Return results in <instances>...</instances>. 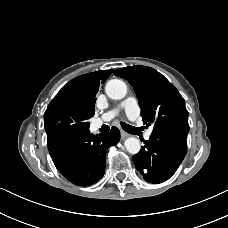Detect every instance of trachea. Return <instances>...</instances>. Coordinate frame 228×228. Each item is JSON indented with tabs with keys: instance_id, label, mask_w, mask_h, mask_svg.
<instances>
[{
	"instance_id": "1",
	"label": "trachea",
	"mask_w": 228,
	"mask_h": 228,
	"mask_svg": "<svg viewBox=\"0 0 228 228\" xmlns=\"http://www.w3.org/2000/svg\"><path fill=\"white\" fill-rule=\"evenodd\" d=\"M120 124H121L122 128H123L126 132H128V133H130V134L136 133V128H135V127H133V126H131V125H129V124H126V123H124V122H121ZM101 128L104 130V132L109 131V126H108V125H103Z\"/></svg>"
}]
</instances>
